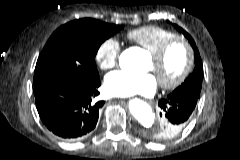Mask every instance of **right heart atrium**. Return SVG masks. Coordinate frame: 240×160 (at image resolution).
<instances>
[{"instance_id": "obj_1", "label": "right heart atrium", "mask_w": 240, "mask_h": 160, "mask_svg": "<svg viewBox=\"0 0 240 160\" xmlns=\"http://www.w3.org/2000/svg\"><path fill=\"white\" fill-rule=\"evenodd\" d=\"M121 52L120 43L114 38L104 40L97 48L95 60L101 70L108 71L116 67Z\"/></svg>"}]
</instances>
